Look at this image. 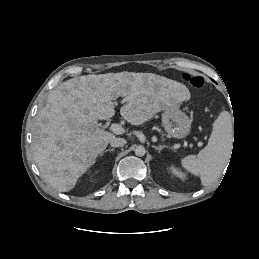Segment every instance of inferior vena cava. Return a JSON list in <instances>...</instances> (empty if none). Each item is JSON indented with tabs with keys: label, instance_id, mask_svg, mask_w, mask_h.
<instances>
[{
	"label": "inferior vena cava",
	"instance_id": "602c4592",
	"mask_svg": "<svg viewBox=\"0 0 259 259\" xmlns=\"http://www.w3.org/2000/svg\"><path fill=\"white\" fill-rule=\"evenodd\" d=\"M126 143L124 138L113 137L110 139V145L112 147H123Z\"/></svg>",
	"mask_w": 259,
	"mask_h": 259
}]
</instances>
